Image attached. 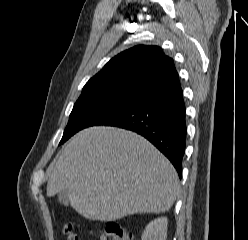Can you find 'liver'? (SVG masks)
<instances>
[{"mask_svg": "<svg viewBox=\"0 0 248 240\" xmlns=\"http://www.w3.org/2000/svg\"><path fill=\"white\" fill-rule=\"evenodd\" d=\"M47 196L68 190L72 208L89 220L164 213L176 200L178 175L142 136L94 126L78 132L49 166Z\"/></svg>", "mask_w": 248, "mask_h": 240, "instance_id": "liver-1", "label": "liver"}]
</instances>
